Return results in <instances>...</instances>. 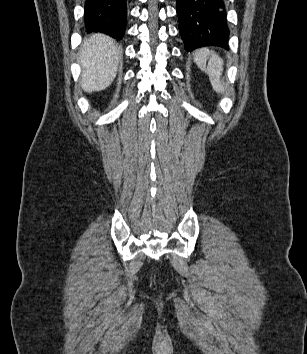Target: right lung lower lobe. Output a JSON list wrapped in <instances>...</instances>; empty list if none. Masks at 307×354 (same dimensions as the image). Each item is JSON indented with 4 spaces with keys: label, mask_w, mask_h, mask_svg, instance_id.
Instances as JSON below:
<instances>
[{
    "label": "right lung lower lobe",
    "mask_w": 307,
    "mask_h": 354,
    "mask_svg": "<svg viewBox=\"0 0 307 354\" xmlns=\"http://www.w3.org/2000/svg\"><path fill=\"white\" fill-rule=\"evenodd\" d=\"M127 0H86L87 32H101L120 40L126 28Z\"/></svg>",
    "instance_id": "98d812e1"
}]
</instances>
